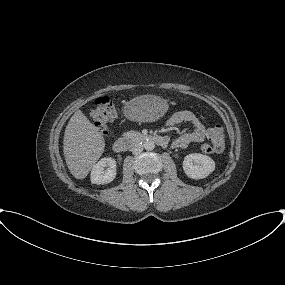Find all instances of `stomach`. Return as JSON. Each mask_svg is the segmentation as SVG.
Here are the masks:
<instances>
[{
	"mask_svg": "<svg viewBox=\"0 0 285 285\" xmlns=\"http://www.w3.org/2000/svg\"><path fill=\"white\" fill-rule=\"evenodd\" d=\"M168 108L166 99L147 94L129 101L124 108V113L131 120L152 122L163 117Z\"/></svg>",
	"mask_w": 285,
	"mask_h": 285,
	"instance_id": "1",
	"label": "stomach"
}]
</instances>
